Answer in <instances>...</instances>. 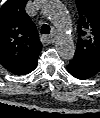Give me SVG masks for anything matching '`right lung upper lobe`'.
Masks as SVG:
<instances>
[{"mask_svg": "<svg viewBox=\"0 0 100 118\" xmlns=\"http://www.w3.org/2000/svg\"><path fill=\"white\" fill-rule=\"evenodd\" d=\"M28 0H7L0 8V63L24 75L37 66L42 49L34 23L25 13Z\"/></svg>", "mask_w": 100, "mask_h": 118, "instance_id": "obj_1", "label": "right lung upper lobe"}]
</instances>
